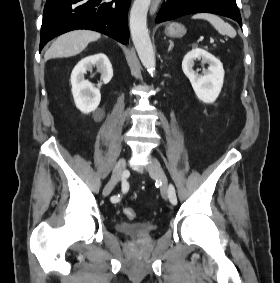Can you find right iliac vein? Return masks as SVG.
I'll return each mask as SVG.
<instances>
[{"mask_svg": "<svg viewBox=\"0 0 280 283\" xmlns=\"http://www.w3.org/2000/svg\"><path fill=\"white\" fill-rule=\"evenodd\" d=\"M125 168H126V160H125L124 157H122L117 161V163H116V165L113 169L112 177L103 189L102 195L104 197H106L107 195L110 194V192L113 190L115 185L121 179V176H122L123 172L125 171Z\"/></svg>", "mask_w": 280, "mask_h": 283, "instance_id": "63e3f726", "label": "right iliac vein"}]
</instances>
